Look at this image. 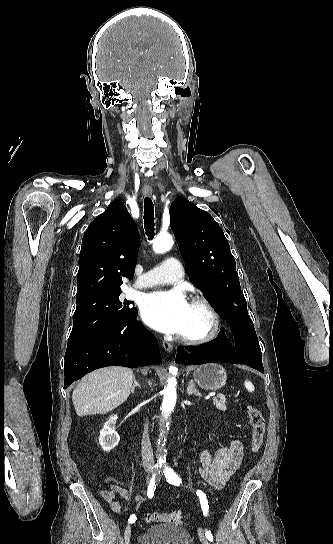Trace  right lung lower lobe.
<instances>
[{"label":"right lung lower lobe","instance_id":"obj_1","mask_svg":"<svg viewBox=\"0 0 333 544\" xmlns=\"http://www.w3.org/2000/svg\"><path fill=\"white\" fill-rule=\"evenodd\" d=\"M138 312L119 324L104 328L83 339L68 343L65 353V383L106 366L136 368L159 364L161 357L155 338L136 320Z\"/></svg>","mask_w":333,"mask_h":544}]
</instances>
